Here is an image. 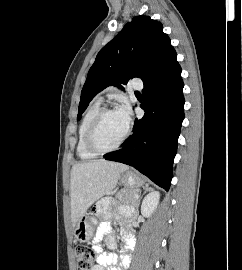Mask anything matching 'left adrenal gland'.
<instances>
[{"label": "left adrenal gland", "instance_id": "a2214340", "mask_svg": "<svg viewBox=\"0 0 242 270\" xmlns=\"http://www.w3.org/2000/svg\"><path fill=\"white\" fill-rule=\"evenodd\" d=\"M147 191H153V189L152 188H149V187H146L144 193H146ZM139 203H140V199L138 200V204L136 206V208H137V215H138V206H139Z\"/></svg>", "mask_w": 242, "mask_h": 270}]
</instances>
